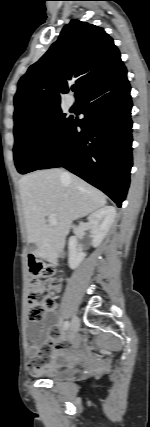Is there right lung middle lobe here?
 Listing matches in <instances>:
<instances>
[{"mask_svg":"<svg viewBox=\"0 0 150 427\" xmlns=\"http://www.w3.org/2000/svg\"><path fill=\"white\" fill-rule=\"evenodd\" d=\"M71 120L65 117L60 106H55L15 122L14 160L18 172L25 174L37 170Z\"/></svg>","mask_w":150,"mask_h":427,"instance_id":"right-lung-middle-lobe-1","label":"right lung middle lobe"}]
</instances>
